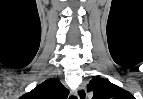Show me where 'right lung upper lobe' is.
<instances>
[{
	"mask_svg": "<svg viewBox=\"0 0 143 99\" xmlns=\"http://www.w3.org/2000/svg\"><path fill=\"white\" fill-rule=\"evenodd\" d=\"M68 93L58 79H48L20 99H67Z\"/></svg>",
	"mask_w": 143,
	"mask_h": 99,
	"instance_id": "1",
	"label": "right lung upper lobe"
}]
</instances>
